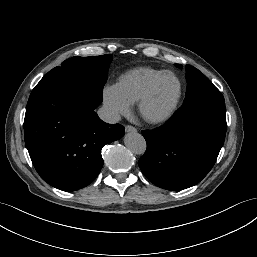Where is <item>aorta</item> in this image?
Returning <instances> with one entry per match:
<instances>
[{"mask_svg":"<svg viewBox=\"0 0 257 257\" xmlns=\"http://www.w3.org/2000/svg\"><path fill=\"white\" fill-rule=\"evenodd\" d=\"M125 146L134 154L142 155L146 151V141L137 132L127 133L124 137Z\"/></svg>","mask_w":257,"mask_h":257,"instance_id":"1","label":"aorta"}]
</instances>
